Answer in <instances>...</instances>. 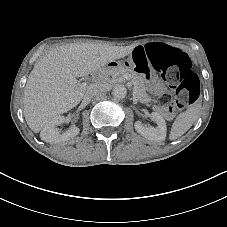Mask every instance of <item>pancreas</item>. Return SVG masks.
<instances>
[{
	"mask_svg": "<svg viewBox=\"0 0 227 227\" xmlns=\"http://www.w3.org/2000/svg\"><path fill=\"white\" fill-rule=\"evenodd\" d=\"M125 80H132L135 82V92L138 94V99L140 102H148L149 96L146 93L147 86L143 77L137 72L124 67V66H116L110 69H106L101 71V73L97 77V83L102 84L105 87L112 82H122Z\"/></svg>",
	"mask_w": 227,
	"mask_h": 227,
	"instance_id": "pancreas-1",
	"label": "pancreas"
}]
</instances>
